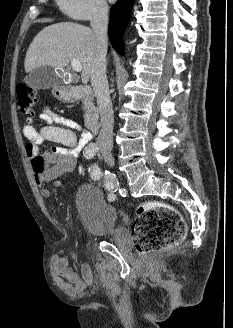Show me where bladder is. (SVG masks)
Here are the masks:
<instances>
[{
    "label": "bladder",
    "instance_id": "obj_1",
    "mask_svg": "<svg viewBox=\"0 0 233 328\" xmlns=\"http://www.w3.org/2000/svg\"><path fill=\"white\" fill-rule=\"evenodd\" d=\"M75 206L85 230L92 236L113 235L118 228V212L106 201L101 190L81 185L75 193Z\"/></svg>",
    "mask_w": 233,
    "mask_h": 328
}]
</instances>
